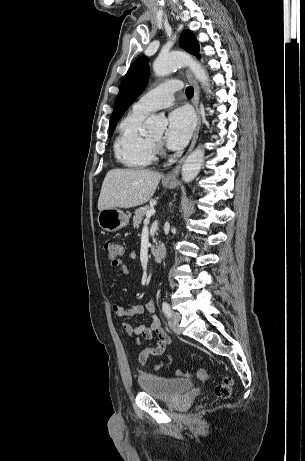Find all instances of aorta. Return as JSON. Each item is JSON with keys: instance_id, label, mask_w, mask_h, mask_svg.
<instances>
[{"instance_id": "1", "label": "aorta", "mask_w": 305, "mask_h": 461, "mask_svg": "<svg viewBox=\"0 0 305 461\" xmlns=\"http://www.w3.org/2000/svg\"><path fill=\"white\" fill-rule=\"evenodd\" d=\"M188 66L195 78L203 85L209 86V77L202 65L191 56L182 52H171L160 55L153 63L156 76L163 77L174 69ZM146 126L151 134H162L167 126V120L163 116L152 115L146 120ZM204 159V149L197 147L185 160L182 166V179L190 183L198 175Z\"/></svg>"}]
</instances>
